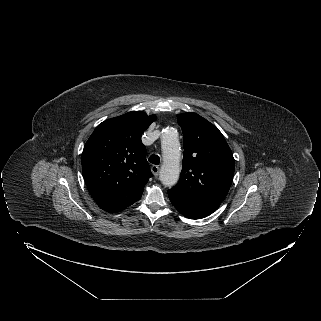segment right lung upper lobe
<instances>
[{
    "label": "right lung upper lobe",
    "instance_id": "cb5924a9",
    "mask_svg": "<svg viewBox=\"0 0 321 321\" xmlns=\"http://www.w3.org/2000/svg\"><path fill=\"white\" fill-rule=\"evenodd\" d=\"M132 111L99 124L82 153V172L97 205L110 213L124 210L140 199L152 176L141 135L155 121Z\"/></svg>",
    "mask_w": 321,
    "mask_h": 321
}]
</instances>
